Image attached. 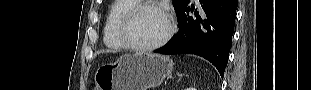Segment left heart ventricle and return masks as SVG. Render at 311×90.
<instances>
[{
	"mask_svg": "<svg viewBox=\"0 0 311 90\" xmlns=\"http://www.w3.org/2000/svg\"><path fill=\"white\" fill-rule=\"evenodd\" d=\"M168 29L165 15L156 9L142 10L129 27V35L138 45H150L160 40Z\"/></svg>",
	"mask_w": 311,
	"mask_h": 90,
	"instance_id": "b2bd125f",
	"label": "left heart ventricle"
}]
</instances>
